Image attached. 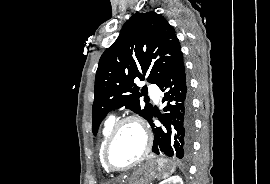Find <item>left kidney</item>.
Masks as SVG:
<instances>
[{
	"label": "left kidney",
	"instance_id": "1",
	"mask_svg": "<svg viewBox=\"0 0 270 184\" xmlns=\"http://www.w3.org/2000/svg\"><path fill=\"white\" fill-rule=\"evenodd\" d=\"M159 184H184L182 178L179 176H172L164 181L160 182Z\"/></svg>",
	"mask_w": 270,
	"mask_h": 184
}]
</instances>
